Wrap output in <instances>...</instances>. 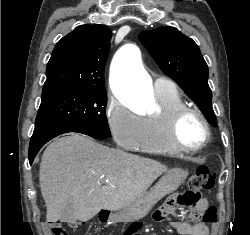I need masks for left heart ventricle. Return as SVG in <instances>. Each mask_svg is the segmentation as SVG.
Segmentation results:
<instances>
[{"instance_id":"obj_1","label":"left heart ventricle","mask_w":250,"mask_h":235,"mask_svg":"<svg viewBox=\"0 0 250 235\" xmlns=\"http://www.w3.org/2000/svg\"><path fill=\"white\" fill-rule=\"evenodd\" d=\"M205 130L201 120L194 114H189L179 126V138L186 146H198L204 139Z\"/></svg>"}]
</instances>
